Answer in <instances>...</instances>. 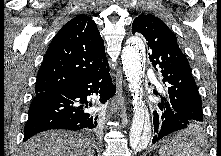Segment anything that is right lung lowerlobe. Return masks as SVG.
<instances>
[{"mask_svg": "<svg viewBox=\"0 0 221 156\" xmlns=\"http://www.w3.org/2000/svg\"><path fill=\"white\" fill-rule=\"evenodd\" d=\"M115 90L107 64L60 91L36 94L30 105L24 141L50 129H95L98 115L89 110L92 103L87 97L96 94L105 103Z\"/></svg>", "mask_w": 221, "mask_h": 156, "instance_id": "right-lung-lower-lobe-1", "label": "right lung lower lobe"}]
</instances>
